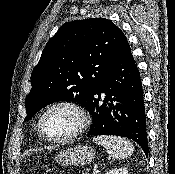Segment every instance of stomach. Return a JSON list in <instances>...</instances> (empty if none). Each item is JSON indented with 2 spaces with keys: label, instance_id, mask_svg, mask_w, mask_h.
<instances>
[{
  "label": "stomach",
  "instance_id": "stomach-1",
  "mask_svg": "<svg viewBox=\"0 0 175 174\" xmlns=\"http://www.w3.org/2000/svg\"><path fill=\"white\" fill-rule=\"evenodd\" d=\"M95 155L96 153L91 147L79 145L60 151L54 159L63 166H79L92 162Z\"/></svg>",
  "mask_w": 175,
  "mask_h": 174
}]
</instances>
